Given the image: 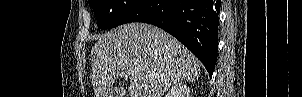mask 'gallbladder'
<instances>
[{
    "mask_svg": "<svg viewBox=\"0 0 302 97\" xmlns=\"http://www.w3.org/2000/svg\"><path fill=\"white\" fill-rule=\"evenodd\" d=\"M126 94V91L123 87H119V88H112L111 91L108 92L107 97H124V95Z\"/></svg>",
    "mask_w": 302,
    "mask_h": 97,
    "instance_id": "1",
    "label": "gallbladder"
}]
</instances>
